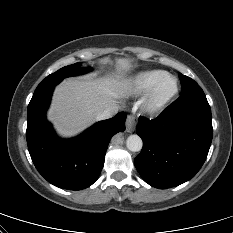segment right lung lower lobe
Wrapping results in <instances>:
<instances>
[{
    "label": "right lung lower lobe",
    "mask_w": 233,
    "mask_h": 233,
    "mask_svg": "<svg viewBox=\"0 0 233 233\" xmlns=\"http://www.w3.org/2000/svg\"><path fill=\"white\" fill-rule=\"evenodd\" d=\"M53 88L43 90L28 105L26 138L38 172L56 187L81 190L91 186L104 165L111 138L125 130L126 113L100 121L80 136L59 139L46 119Z\"/></svg>",
    "instance_id": "98d812e1"
}]
</instances>
